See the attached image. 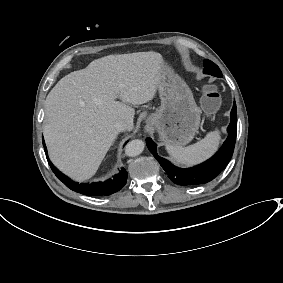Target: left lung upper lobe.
I'll return each instance as SVG.
<instances>
[{"mask_svg": "<svg viewBox=\"0 0 283 283\" xmlns=\"http://www.w3.org/2000/svg\"><path fill=\"white\" fill-rule=\"evenodd\" d=\"M203 72L205 74H211V75L216 76V77H222V72L219 69V67L215 63L210 61V60H205L204 61V70H203Z\"/></svg>", "mask_w": 283, "mask_h": 283, "instance_id": "5c2ea615", "label": "left lung upper lobe"}]
</instances>
